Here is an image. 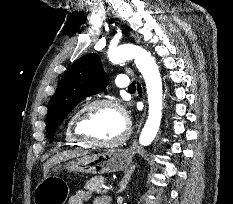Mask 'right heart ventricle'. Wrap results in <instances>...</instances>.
<instances>
[{"mask_svg":"<svg viewBox=\"0 0 233 204\" xmlns=\"http://www.w3.org/2000/svg\"><path fill=\"white\" fill-rule=\"evenodd\" d=\"M73 116L74 115L70 116V118L67 121L65 132H64V140L66 144L71 147H86L87 144L75 138V136L72 133L71 125H72Z\"/></svg>","mask_w":233,"mask_h":204,"instance_id":"1","label":"right heart ventricle"}]
</instances>
